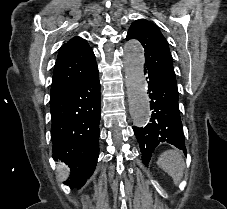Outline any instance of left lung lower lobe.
<instances>
[{
  "label": "left lung lower lobe",
  "mask_w": 227,
  "mask_h": 209,
  "mask_svg": "<svg viewBox=\"0 0 227 209\" xmlns=\"http://www.w3.org/2000/svg\"><path fill=\"white\" fill-rule=\"evenodd\" d=\"M150 123L145 127H133L142 153V161L148 165L155 148L169 143L186 154L183 126L178 106V91L164 84L155 74H148Z\"/></svg>",
  "instance_id": "0a47b994"
}]
</instances>
